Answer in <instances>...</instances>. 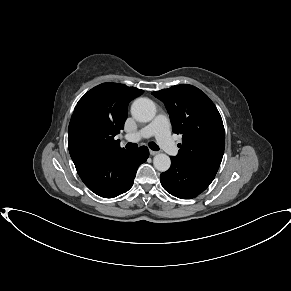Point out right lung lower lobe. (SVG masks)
<instances>
[{
	"mask_svg": "<svg viewBox=\"0 0 291 291\" xmlns=\"http://www.w3.org/2000/svg\"><path fill=\"white\" fill-rule=\"evenodd\" d=\"M69 152L84 184L104 198H114L127 192L133 185L138 167L149 156V150L145 146L132 151L102 155L79 145H70Z\"/></svg>",
	"mask_w": 291,
	"mask_h": 291,
	"instance_id": "1",
	"label": "right lung lower lobe"
}]
</instances>
